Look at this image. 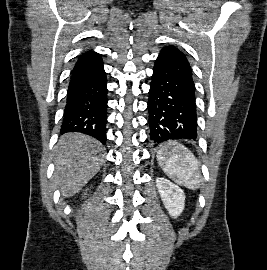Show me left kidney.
I'll return each mask as SVG.
<instances>
[{
    "label": "left kidney",
    "mask_w": 267,
    "mask_h": 270,
    "mask_svg": "<svg viewBox=\"0 0 267 270\" xmlns=\"http://www.w3.org/2000/svg\"><path fill=\"white\" fill-rule=\"evenodd\" d=\"M156 185L162 202L169 214L178 217L185 206V194L183 190L165 178H156Z\"/></svg>",
    "instance_id": "5707ae66"
}]
</instances>
